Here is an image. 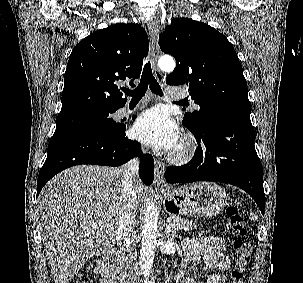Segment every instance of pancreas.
I'll return each instance as SVG.
<instances>
[{
    "label": "pancreas",
    "instance_id": "cf45deb5",
    "mask_svg": "<svg viewBox=\"0 0 303 283\" xmlns=\"http://www.w3.org/2000/svg\"><path fill=\"white\" fill-rule=\"evenodd\" d=\"M172 223L174 224L173 230H181V231H188L191 230L193 227L196 228L197 225L196 223L183 218L182 216L179 215H173L172 216Z\"/></svg>",
    "mask_w": 303,
    "mask_h": 283
}]
</instances>
